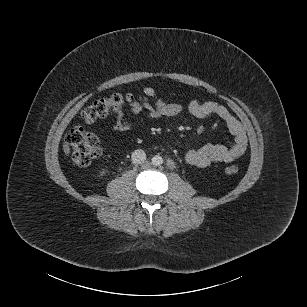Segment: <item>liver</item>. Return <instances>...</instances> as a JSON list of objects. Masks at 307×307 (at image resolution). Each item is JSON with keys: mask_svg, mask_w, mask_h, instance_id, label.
<instances>
[{"mask_svg": "<svg viewBox=\"0 0 307 307\" xmlns=\"http://www.w3.org/2000/svg\"><path fill=\"white\" fill-rule=\"evenodd\" d=\"M62 147H63V152H64V154H65L67 157H69L70 154H71L70 145H69L67 142H63Z\"/></svg>", "mask_w": 307, "mask_h": 307, "instance_id": "liver-1", "label": "liver"}]
</instances>
